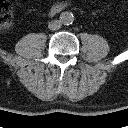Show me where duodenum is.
Segmentation results:
<instances>
[{
	"instance_id": "1",
	"label": "duodenum",
	"mask_w": 128,
	"mask_h": 128,
	"mask_svg": "<svg viewBox=\"0 0 128 128\" xmlns=\"http://www.w3.org/2000/svg\"><path fill=\"white\" fill-rule=\"evenodd\" d=\"M65 7H66V3L65 2H59V3L55 4L52 7L51 12L52 13H57V12L63 10Z\"/></svg>"
}]
</instances>
